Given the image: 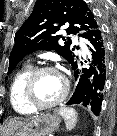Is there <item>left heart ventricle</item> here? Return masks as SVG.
I'll use <instances>...</instances> for the list:
<instances>
[{"label":"left heart ventricle","mask_w":117,"mask_h":136,"mask_svg":"<svg viewBox=\"0 0 117 136\" xmlns=\"http://www.w3.org/2000/svg\"><path fill=\"white\" fill-rule=\"evenodd\" d=\"M64 82L55 72L40 74L35 82L34 97L38 103L46 104L56 100L63 92Z\"/></svg>","instance_id":"1"}]
</instances>
